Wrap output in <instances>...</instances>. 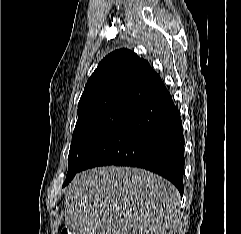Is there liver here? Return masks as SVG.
Returning <instances> with one entry per match:
<instances>
[{"label":"liver","instance_id":"6515ba94","mask_svg":"<svg viewBox=\"0 0 241 234\" xmlns=\"http://www.w3.org/2000/svg\"><path fill=\"white\" fill-rule=\"evenodd\" d=\"M180 200L172 183L144 169L93 168L70 183L65 224L71 234H174Z\"/></svg>","mask_w":241,"mask_h":234}]
</instances>
